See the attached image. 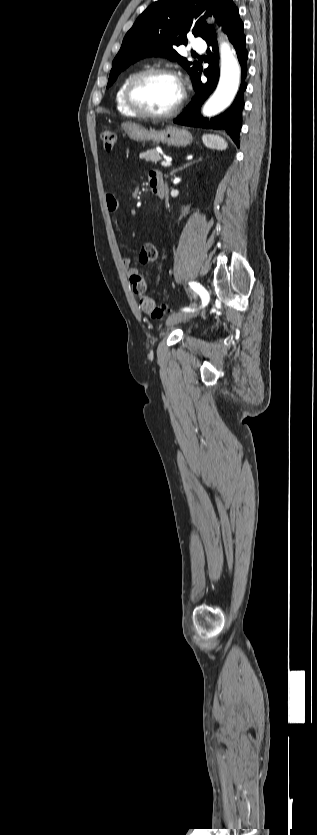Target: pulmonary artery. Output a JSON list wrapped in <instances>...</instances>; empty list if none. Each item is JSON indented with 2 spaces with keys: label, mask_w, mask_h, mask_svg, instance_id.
I'll list each match as a JSON object with an SVG mask.
<instances>
[{
  "label": "pulmonary artery",
  "mask_w": 317,
  "mask_h": 835,
  "mask_svg": "<svg viewBox=\"0 0 317 835\" xmlns=\"http://www.w3.org/2000/svg\"><path fill=\"white\" fill-rule=\"evenodd\" d=\"M192 49L198 52H204L206 50V43L201 39H196L192 43Z\"/></svg>",
  "instance_id": "pulmonary-artery-1"
}]
</instances>
